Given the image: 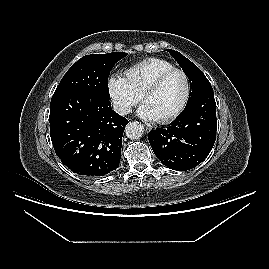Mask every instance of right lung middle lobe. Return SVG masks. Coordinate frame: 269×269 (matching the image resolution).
Returning a JSON list of instances; mask_svg holds the SVG:
<instances>
[{
  "label": "right lung middle lobe",
  "mask_w": 269,
  "mask_h": 269,
  "mask_svg": "<svg viewBox=\"0 0 269 269\" xmlns=\"http://www.w3.org/2000/svg\"><path fill=\"white\" fill-rule=\"evenodd\" d=\"M127 53L90 54L78 60L63 76L54 94L80 91L109 98L108 77L111 69Z\"/></svg>",
  "instance_id": "obj_1"
}]
</instances>
